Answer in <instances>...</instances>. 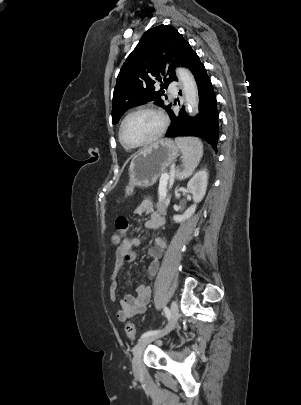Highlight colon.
I'll return each instance as SVG.
<instances>
[{"label":"colon","instance_id":"5ec220e1","mask_svg":"<svg viewBox=\"0 0 301 405\" xmlns=\"http://www.w3.org/2000/svg\"><path fill=\"white\" fill-rule=\"evenodd\" d=\"M115 226L117 232L113 234L110 240L112 242V246L117 248L121 245V242L123 240L122 237L129 229L130 224L127 218L119 216L116 218ZM125 333L131 340L134 341L136 339V330L133 323L127 322L125 324Z\"/></svg>","mask_w":301,"mask_h":405}]
</instances>
